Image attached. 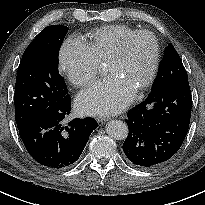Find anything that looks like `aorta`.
<instances>
[{
    "instance_id": "aorta-1",
    "label": "aorta",
    "mask_w": 205,
    "mask_h": 205,
    "mask_svg": "<svg viewBox=\"0 0 205 205\" xmlns=\"http://www.w3.org/2000/svg\"><path fill=\"white\" fill-rule=\"evenodd\" d=\"M107 134L116 140H123L128 135V126L120 120H112L106 125Z\"/></svg>"
}]
</instances>
